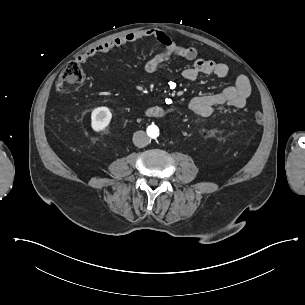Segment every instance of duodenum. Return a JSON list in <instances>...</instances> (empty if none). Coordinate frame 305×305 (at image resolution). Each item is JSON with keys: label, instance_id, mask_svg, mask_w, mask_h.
<instances>
[{"label": "duodenum", "instance_id": "duodenum-1", "mask_svg": "<svg viewBox=\"0 0 305 305\" xmlns=\"http://www.w3.org/2000/svg\"><path fill=\"white\" fill-rule=\"evenodd\" d=\"M163 114V109L159 107H154L149 110L148 115L153 118H158Z\"/></svg>", "mask_w": 305, "mask_h": 305}]
</instances>
